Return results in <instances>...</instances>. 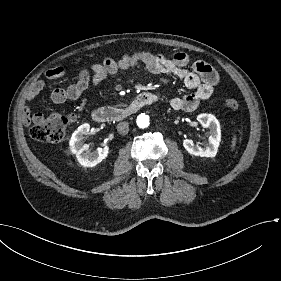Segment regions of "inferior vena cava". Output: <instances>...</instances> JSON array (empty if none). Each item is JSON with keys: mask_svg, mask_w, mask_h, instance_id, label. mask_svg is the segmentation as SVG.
<instances>
[{"mask_svg": "<svg viewBox=\"0 0 281 281\" xmlns=\"http://www.w3.org/2000/svg\"><path fill=\"white\" fill-rule=\"evenodd\" d=\"M117 131L121 135H126L129 131V124L128 122H120L117 125Z\"/></svg>", "mask_w": 281, "mask_h": 281, "instance_id": "602c4592", "label": "inferior vena cava"}]
</instances>
